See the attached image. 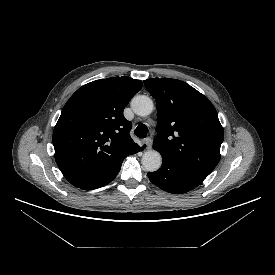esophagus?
I'll return each instance as SVG.
<instances>
[{
	"label": "esophagus",
	"mask_w": 275,
	"mask_h": 275,
	"mask_svg": "<svg viewBox=\"0 0 275 275\" xmlns=\"http://www.w3.org/2000/svg\"><path fill=\"white\" fill-rule=\"evenodd\" d=\"M144 144L146 145V148L150 150L152 148V139L150 137L146 138Z\"/></svg>",
	"instance_id": "1"
}]
</instances>
